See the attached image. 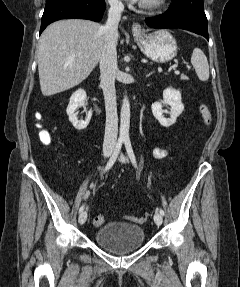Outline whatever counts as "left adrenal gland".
Segmentation results:
<instances>
[{
    "instance_id": "a2214340",
    "label": "left adrenal gland",
    "mask_w": 240,
    "mask_h": 287,
    "mask_svg": "<svg viewBox=\"0 0 240 287\" xmlns=\"http://www.w3.org/2000/svg\"><path fill=\"white\" fill-rule=\"evenodd\" d=\"M150 75H152V72H151V73H149V74H147V75H146V77H149Z\"/></svg>"
}]
</instances>
